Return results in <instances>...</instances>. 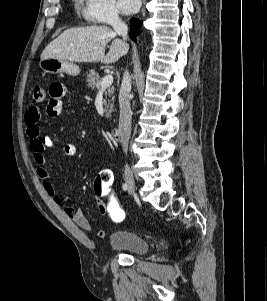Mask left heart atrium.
I'll return each mask as SVG.
<instances>
[{"label":"left heart atrium","mask_w":267,"mask_h":301,"mask_svg":"<svg viewBox=\"0 0 267 301\" xmlns=\"http://www.w3.org/2000/svg\"><path fill=\"white\" fill-rule=\"evenodd\" d=\"M140 6V0H118V7L124 14L135 13Z\"/></svg>","instance_id":"39dd6f15"}]
</instances>
